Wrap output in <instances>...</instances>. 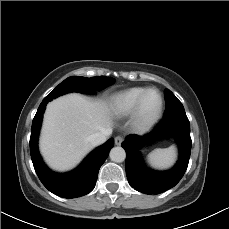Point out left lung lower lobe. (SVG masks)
Segmentation results:
<instances>
[{
	"label": "left lung lower lobe",
	"instance_id": "0a47b994",
	"mask_svg": "<svg viewBox=\"0 0 229 229\" xmlns=\"http://www.w3.org/2000/svg\"><path fill=\"white\" fill-rule=\"evenodd\" d=\"M172 136L177 141L180 157L176 165L164 172L145 168L140 148L154 140ZM190 123L186 114L164 118L153 131L144 135H129L122 143L126 151V174L129 184L145 194H158L174 187L183 177L191 152Z\"/></svg>",
	"mask_w": 229,
	"mask_h": 229
}]
</instances>
